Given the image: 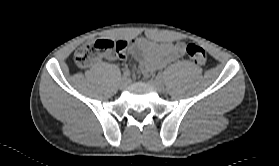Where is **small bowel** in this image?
<instances>
[{"instance_id": "obj_1", "label": "small bowel", "mask_w": 279, "mask_h": 166, "mask_svg": "<svg viewBox=\"0 0 279 166\" xmlns=\"http://www.w3.org/2000/svg\"><path fill=\"white\" fill-rule=\"evenodd\" d=\"M130 50L132 55L139 62L144 74L149 76L171 61L182 57L185 53V44L183 42L158 43L140 37L133 42ZM115 57L124 60L127 57V53L124 51L117 55H107L108 59H113Z\"/></svg>"}]
</instances>
